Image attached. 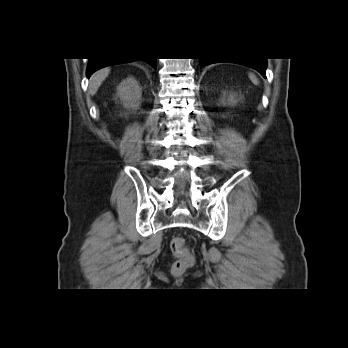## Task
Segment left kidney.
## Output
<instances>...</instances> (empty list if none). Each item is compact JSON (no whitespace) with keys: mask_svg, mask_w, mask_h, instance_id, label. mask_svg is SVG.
<instances>
[{"mask_svg":"<svg viewBox=\"0 0 348 348\" xmlns=\"http://www.w3.org/2000/svg\"><path fill=\"white\" fill-rule=\"evenodd\" d=\"M236 97L237 95L235 93H229L228 99L225 100V98H222L221 102L223 104L235 105V103L237 102Z\"/></svg>","mask_w":348,"mask_h":348,"instance_id":"5707ae66","label":"left kidney"}]
</instances>
